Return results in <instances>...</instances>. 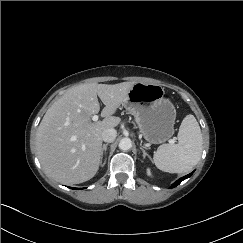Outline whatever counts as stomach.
<instances>
[{
  "label": "stomach",
  "mask_w": 243,
  "mask_h": 243,
  "mask_svg": "<svg viewBox=\"0 0 243 243\" xmlns=\"http://www.w3.org/2000/svg\"><path fill=\"white\" fill-rule=\"evenodd\" d=\"M123 106L135 119L144 139L161 144L174 134L176 109L164 98V88L153 83L136 82L130 89Z\"/></svg>",
  "instance_id": "0dacf381"
}]
</instances>
